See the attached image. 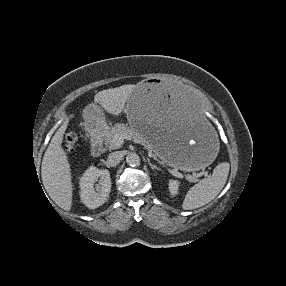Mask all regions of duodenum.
Listing matches in <instances>:
<instances>
[{"mask_svg":"<svg viewBox=\"0 0 286 286\" xmlns=\"http://www.w3.org/2000/svg\"><path fill=\"white\" fill-rule=\"evenodd\" d=\"M103 151V141L100 133H93L91 135V155L99 157Z\"/></svg>","mask_w":286,"mask_h":286,"instance_id":"1","label":"duodenum"}]
</instances>
